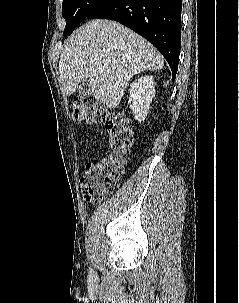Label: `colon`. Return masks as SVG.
Returning a JSON list of instances; mask_svg holds the SVG:
<instances>
[{
	"mask_svg": "<svg viewBox=\"0 0 239 303\" xmlns=\"http://www.w3.org/2000/svg\"><path fill=\"white\" fill-rule=\"evenodd\" d=\"M73 119L87 124L104 123L111 153L88 162L81 177V194L87 203L98 204L121 183L133 144L130 121L121 113L106 109L83 97L73 99Z\"/></svg>",
	"mask_w": 239,
	"mask_h": 303,
	"instance_id": "1",
	"label": "colon"
}]
</instances>
